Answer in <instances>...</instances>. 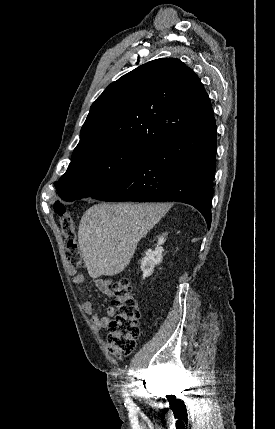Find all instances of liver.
Listing matches in <instances>:
<instances>
[{"instance_id":"6515ba94","label":"liver","mask_w":275,"mask_h":429,"mask_svg":"<svg viewBox=\"0 0 275 429\" xmlns=\"http://www.w3.org/2000/svg\"><path fill=\"white\" fill-rule=\"evenodd\" d=\"M167 211L160 203H101L83 214L78 243L91 278L121 273L137 244Z\"/></svg>"}]
</instances>
